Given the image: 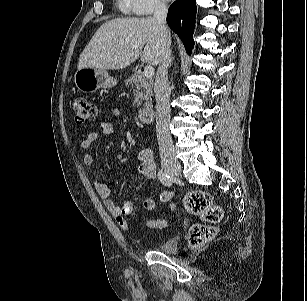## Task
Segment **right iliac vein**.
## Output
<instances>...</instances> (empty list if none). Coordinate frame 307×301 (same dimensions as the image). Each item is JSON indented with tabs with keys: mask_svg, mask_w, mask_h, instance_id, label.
Returning <instances> with one entry per match:
<instances>
[{
	"mask_svg": "<svg viewBox=\"0 0 307 301\" xmlns=\"http://www.w3.org/2000/svg\"><path fill=\"white\" fill-rule=\"evenodd\" d=\"M162 167L172 176H180L181 174V165L179 161L171 155L165 156L163 158Z\"/></svg>",
	"mask_w": 307,
	"mask_h": 301,
	"instance_id": "obj_1",
	"label": "right iliac vein"
}]
</instances>
